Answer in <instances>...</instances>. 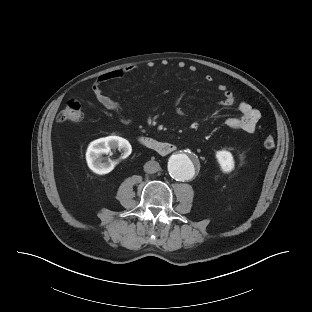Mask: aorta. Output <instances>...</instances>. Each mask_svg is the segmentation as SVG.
<instances>
[{
  "mask_svg": "<svg viewBox=\"0 0 312 312\" xmlns=\"http://www.w3.org/2000/svg\"><path fill=\"white\" fill-rule=\"evenodd\" d=\"M198 168V160L194 156L177 154L168 162V171L172 178L178 181L191 179Z\"/></svg>",
  "mask_w": 312,
  "mask_h": 312,
  "instance_id": "obj_1",
  "label": "aorta"
}]
</instances>
